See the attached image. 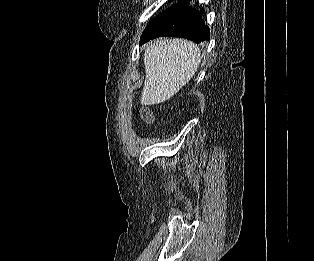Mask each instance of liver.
Returning a JSON list of instances; mask_svg holds the SVG:
<instances>
[{"label":"liver","instance_id":"1","mask_svg":"<svg viewBox=\"0 0 314 261\" xmlns=\"http://www.w3.org/2000/svg\"><path fill=\"white\" fill-rule=\"evenodd\" d=\"M201 62L196 44L184 39H158L145 49L146 77L140 102L162 103L174 96L197 71Z\"/></svg>","mask_w":314,"mask_h":261}]
</instances>
